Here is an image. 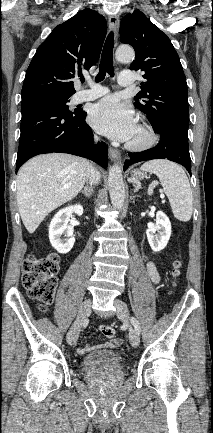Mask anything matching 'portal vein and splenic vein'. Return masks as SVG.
Returning a JSON list of instances; mask_svg holds the SVG:
<instances>
[{"instance_id": "18ae733b", "label": "portal vein and splenic vein", "mask_w": 213, "mask_h": 433, "mask_svg": "<svg viewBox=\"0 0 213 433\" xmlns=\"http://www.w3.org/2000/svg\"><path fill=\"white\" fill-rule=\"evenodd\" d=\"M151 193H152V188H150L149 191H148V194H149V195H151ZM163 197H164V196L161 195V198H163Z\"/></svg>"}]
</instances>
